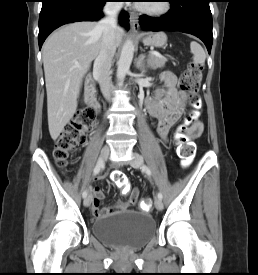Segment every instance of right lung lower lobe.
Wrapping results in <instances>:
<instances>
[{"instance_id":"obj_1","label":"right lung lower lobe","mask_w":258,"mask_h":275,"mask_svg":"<svg viewBox=\"0 0 258 275\" xmlns=\"http://www.w3.org/2000/svg\"><path fill=\"white\" fill-rule=\"evenodd\" d=\"M38 42L41 49L47 36L59 26L77 21H96L103 17L102 8L108 0H41ZM120 23L129 28V15L123 11Z\"/></svg>"}]
</instances>
